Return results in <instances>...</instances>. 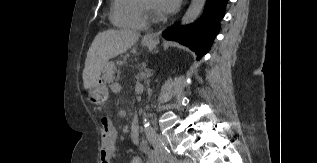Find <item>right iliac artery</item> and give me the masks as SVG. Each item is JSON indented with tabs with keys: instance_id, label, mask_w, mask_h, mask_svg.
<instances>
[{
	"instance_id": "right-iliac-artery-1",
	"label": "right iliac artery",
	"mask_w": 317,
	"mask_h": 163,
	"mask_svg": "<svg viewBox=\"0 0 317 163\" xmlns=\"http://www.w3.org/2000/svg\"><path fill=\"white\" fill-rule=\"evenodd\" d=\"M164 160L168 161L167 153L164 154Z\"/></svg>"
}]
</instances>
